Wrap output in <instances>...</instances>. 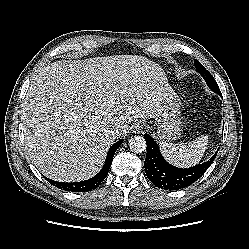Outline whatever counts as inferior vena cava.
Listing matches in <instances>:
<instances>
[{"label": "inferior vena cava", "mask_w": 249, "mask_h": 249, "mask_svg": "<svg viewBox=\"0 0 249 249\" xmlns=\"http://www.w3.org/2000/svg\"><path fill=\"white\" fill-rule=\"evenodd\" d=\"M120 131H121L120 128H116V129L111 131V135L115 137L120 133Z\"/></svg>", "instance_id": "inferior-vena-cava-1"}]
</instances>
